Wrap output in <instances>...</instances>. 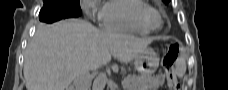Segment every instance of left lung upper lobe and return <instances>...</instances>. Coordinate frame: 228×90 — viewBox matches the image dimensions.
Masks as SVG:
<instances>
[{
  "label": "left lung upper lobe",
  "mask_w": 228,
  "mask_h": 90,
  "mask_svg": "<svg viewBox=\"0 0 228 90\" xmlns=\"http://www.w3.org/2000/svg\"><path fill=\"white\" fill-rule=\"evenodd\" d=\"M165 2H168L169 0H164Z\"/></svg>",
  "instance_id": "obj_1"
}]
</instances>
